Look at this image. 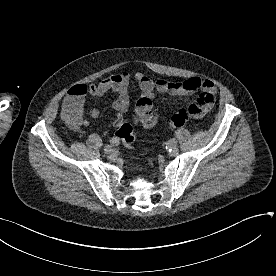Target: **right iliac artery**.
Masks as SVG:
<instances>
[{
  "instance_id": "right-iliac-artery-1",
  "label": "right iliac artery",
  "mask_w": 276,
  "mask_h": 276,
  "mask_svg": "<svg viewBox=\"0 0 276 276\" xmlns=\"http://www.w3.org/2000/svg\"><path fill=\"white\" fill-rule=\"evenodd\" d=\"M110 143H111V145H115V146H117L118 144H119V142H118V140L116 139V138H111L110 139Z\"/></svg>"
}]
</instances>
